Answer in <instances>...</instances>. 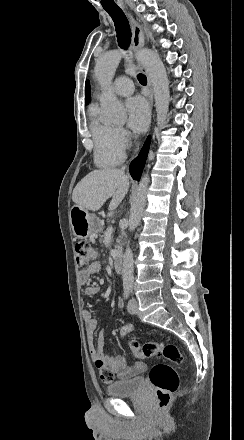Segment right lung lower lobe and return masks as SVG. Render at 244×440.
Returning a JSON list of instances; mask_svg holds the SVG:
<instances>
[{
	"label": "right lung lower lobe",
	"mask_w": 244,
	"mask_h": 440,
	"mask_svg": "<svg viewBox=\"0 0 244 440\" xmlns=\"http://www.w3.org/2000/svg\"><path fill=\"white\" fill-rule=\"evenodd\" d=\"M150 145V136H148L146 142L144 143L139 155L131 162L129 166V171L134 180L139 181L141 177V173L143 171L148 151Z\"/></svg>",
	"instance_id": "1"
}]
</instances>
